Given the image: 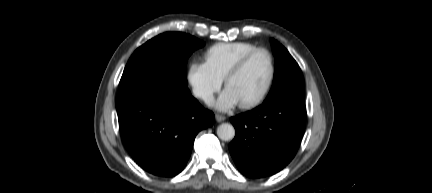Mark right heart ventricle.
<instances>
[{
	"label": "right heart ventricle",
	"instance_id": "obj_1",
	"mask_svg": "<svg viewBox=\"0 0 432 193\" xmlns=\"http://www.w3.org/2000/svg\"><path fill=\"white\" fill-rule=\"evenodd\" d=\"M256 47L257 45L251 42L218 43L207 50L206 63L221 80H224L234 64Z\"/></svg>",
	"mask_w": 432,
	"mask_h": 193
}]
</instances>
